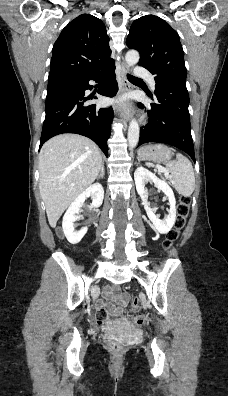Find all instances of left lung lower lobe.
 Listing matches in <instances>:
<instances>
[{
  "instance_id": "left-lung-lower-lobe-1",
  "label": "left lung lower lobe",
  "mask_w": 228,
  "mask_h": 396,
  "mask_svg": "<svg viewBox=\"0 0 228 396\" xmlns=\"http://www.w3.org/2000/svg\"><path fill=\"white\" fill-rule=\"evenodd\" d=\"M156 103L151 104L149 123L140 129L139 145L158 142L175 146L195 161L188 111L189 95L186 82L166 80L156 82L155 96L148 95ZM143 108V105L139 103Z\"/></svg>"
}]
</instances>
